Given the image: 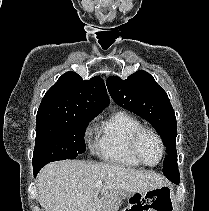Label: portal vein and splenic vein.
Wrapping results in <instances>:
<instances>
[{"mask_svg": "<svg viewBox=\"0 0 209 211\" xmlns=\"http://www.w3.org/2000/svg\"><path fill=\"white\" fill-rule=\"evenodd\" d=\"M96 186H97L98 188H100V187L102 186V181H97V182H96Z\"/></svg>", "mask_w": 209, "mask_h": 211, "instance_id": "1", "label": "portal vein and splenic vein"}]
</instances>
